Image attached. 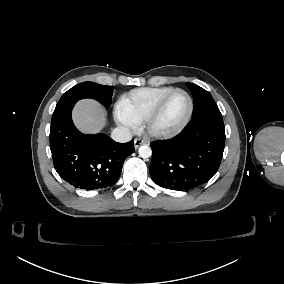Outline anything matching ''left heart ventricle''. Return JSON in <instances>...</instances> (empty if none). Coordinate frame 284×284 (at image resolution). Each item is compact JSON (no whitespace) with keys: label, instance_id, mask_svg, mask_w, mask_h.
Returning <instances> with one entry per match:
<instances>
[{"label":"left heart ventricle","instance_id":"left-heart-ventricle-1","mask_svg":"<svg viewBox=\"0 0 284 284\" xmlns=\"http://www.w3.org/2000/svg\"><path fill=\"white\" fill-rule=\"evenodd\" d=\"M189 110V101L185 93L178 91L165 102L161 112L152 122V129L156 132H170L184 121Z\"/></svg>","mask_w":284,"mask_h":284}]
</instances>
